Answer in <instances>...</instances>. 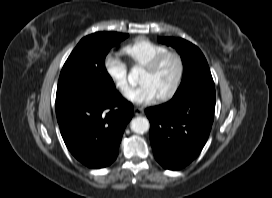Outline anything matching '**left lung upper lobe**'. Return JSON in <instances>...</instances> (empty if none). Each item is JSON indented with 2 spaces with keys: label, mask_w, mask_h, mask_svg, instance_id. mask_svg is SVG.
<instances>
[{
  "label": "left lung upper lobe",
  "mask_w": 272,
  "mask_h": 198,
  "mask_svg": "<svg viewBox=\"0 0 272 198\" xmlns=\"http://www.w3.org/2000/svg\"><path fill=\"white\" fill-rule=\"evenodd\" d=\"M158 41L176 48L183 61V78L175 95L192 89L214 88L208 63L197 46L182 38L160 37Z\"/></svg>",
  "instance_id": "1"
}]
</instances>
